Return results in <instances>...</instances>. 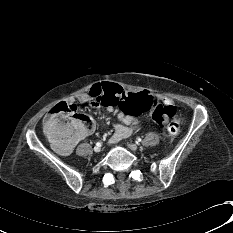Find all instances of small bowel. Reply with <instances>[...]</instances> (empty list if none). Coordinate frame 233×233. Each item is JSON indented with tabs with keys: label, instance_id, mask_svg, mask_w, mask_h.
<instances>
[{
	"label": "small bowel",
	"instance_id": "1",
	"mask_svg": "<svg viewBox=\"0 0 233 233\" xmlns=\"http://www.w3.org/2000/svg\"><path fill=\"white\" fill-rule=\"evenodd\" d=\"M110 83H113V82H110ZM91 88L87 93L79 94L76 97L77 101L80 103H83V104H89L95 110H98V111L101 110L102 112L104 110H106L110 114L112 112L114 114H116L120 123H118L114 126V134L112 136L113 143H117L120 140H122L123 138L131 136L139 127V121L137 119V115L130 116V115L124 113L123 111L116 110L115 107L110 105V104H106V103L103 104V103H99V102L94 101L92 99L91 93H90ZM158 100L160 102H162L164 105H173V103H174L171 98L164 96V95L158 96ZM65 104H68V105L75 107L73 100H69L68 103H65ZM74 144H75V142L71 143L70 145H68L66 147H62L60 145H57V149L61 154H67L71 151Z\"/></svg>",
	"mask_w": 233,
	"mask_h": 233
}]
</instances>
